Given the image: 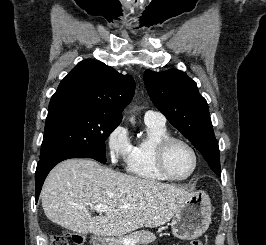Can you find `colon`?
I'll use <instances>...</instances> for the list:
<instances>
[{"mask_svg": "<svg viewBox=\"0 0 266 245\" xmlns=\"http://www.w3.org/2000/svg\"><path fill=\"white\" fill-rule=\"evenodd\" d=\"M71 240L75 245H80L83 241V238L80 234L74 233L70 235L69 233L65 232L63 235L59 234H52L50 237L51 245H69L68 238L70 237ZM191 245H201L198 240H193Z\"/></svg>", "mask_w": 266, "mask_h": 245, "instance_id": "5ec220e1", "label": "colon"}]
</instances>
